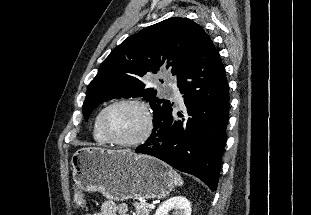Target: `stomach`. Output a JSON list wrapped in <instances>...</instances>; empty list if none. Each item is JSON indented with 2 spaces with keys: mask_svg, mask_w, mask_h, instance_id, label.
I'll return each instance as SVG.
<instances>
[{
  "mask_svg": "<svg viewBox=\"0 0 311 215\" xmlns=\"http://www.w3.org/2000/svg\"><path fill=\"white\" fill-rule=\"evenodd\" d=\"M76 185L87 192L125 199H161L174 188L171 168L160 160L126 150L86 147L72 158Z\"/></svg>",
  "mask_w": 311,
  "mask_h": 215,
  "instance_id": "obj_1",
  "label": "stomach"
}]
</instances>
